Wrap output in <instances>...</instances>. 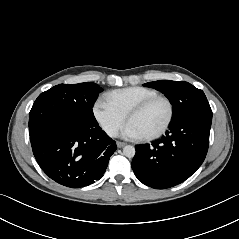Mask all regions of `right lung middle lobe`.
<instances>
[{
	"label": "right lung middle lobe",
	"instance_id": "dd1d6c3e",
	"mask_svg": "<svg viewBox=\"0 0 239 239\" xmlns=\"http://www.w3.org/2000/svg\"><path fill=\"white\" fill-rule=\"evenodd\" d=\"M103 89L96 83L59 84L41 93L29 113V135L44 128L98 125L92 108Z\"/></svg>",
	"mask_w": 239,
	"mask_h": 239
}]
</instances>
